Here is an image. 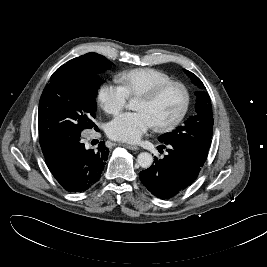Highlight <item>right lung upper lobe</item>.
Here are the masks:
<instances>
[{
	"label": "right lung upper lobe",
	"mask_w": 267,
	"mask_h": 267,
	"mask_svg": "<svg viewBox=\"0 0 267 267\" xmlns=\"http://www.w3.org/2000/svg\"><path fill=\"white\" fill-rule=\"evenodd\" d=\"M61 145V144H60ZM56 146L54 145L53 147H51L50 149H47L46 151L43 152L45 159H49L50 156L56 151V149L60 146Z\"/></svg>",
	"instance_id": "obj_1"
}]
</instances>
